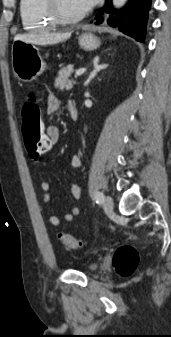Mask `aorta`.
I'll use <instances>...</instances> for the list:
<instances>
[{
    "label": "aorta",
    "instance_id": "1",
    "mask_svg": "<svg viewBox=\"0 0 171 337\" xmlns=\"http://www.w3.org/2000/svg\"><path fill=\"white\" fill-rule=\"evenodd\" d=\"M127 0H112L113 6L117 9L121 8L124 6Z\"/></svg>",
    "mask_w": 171,
    "mask_h": 337
}]
</instances>
